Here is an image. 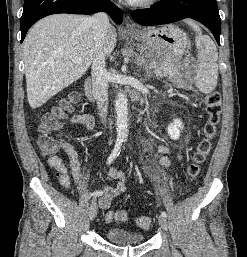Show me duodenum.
I'll return each mask as SVG.
<instances>
[{
  "label": "duodenum",
  "mask_w": 247,
  "mask_h": 257,
  "mask_svg": "<svg viewBox=\"0 0 247 257\" xmlns=\"http://www.w3.org/2000/svg\"><path fill=\"white\" fill-rule=\"evenodd\" d=\"M84 90L89 98H92V80L88 78L84 84Z\"/></svg>",
  "instance_id": "1"
}]
</instances>
